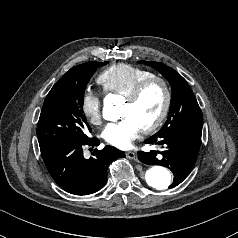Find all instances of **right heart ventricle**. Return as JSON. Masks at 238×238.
Returning a JSON list of instances; mask_svg holds the SVG:
<instances>
[{
    "label": "right heart ventricle",
    "instance_id": "right-heart-ventricle-1",
    "mask_svg": "<svg viewBox=\"0 0 238 238\" xmlns=\"http://www.w3.org/2000/svg\"><path fill=\"white\" fill-rule=\"evenodd\" d=\"M154 76L146 69L129 64H117L105 69L97 78L106 93L127 97L143 80Z\"/></svg>",
    "mask_w": 238,
    "mask_h": 238
}]
</instances>
